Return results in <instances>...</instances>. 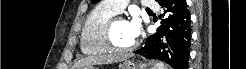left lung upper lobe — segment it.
Listing matches in <instances>:
<instances>
[{"label": "left lung upper lobe", "mask_w": 246, "mask_h": 69, "mask_svg": "<svg viewBox=\"0 0 246 69\" xmlns=\"http://www.w3.org/2000/svg\"><path fill=\"white\" fill-rule=\"evenodd\" d=\"M99 0H92V3L98 2ZM157 2H160L161 0H156Z\"/></svg>", "instance_id": "obj_1"}]
</instances>
